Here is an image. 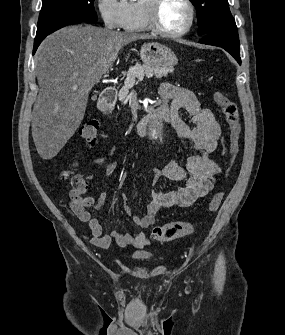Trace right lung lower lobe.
Returning <instances> with one entry per match:
<instances>
[{
    "label": "right lung lower lobe",
    "instance_id": "98d812e1",
    "mask_svg": "<svg viewBox=\"0 0 285 335\" xmlns=\"http://www.w3.org/2000/svg\"><path fill=\"white\" fill-rule=\"evenodd\" d=\"M82 22H87V21L79 20V19H66V20L56 22V23L52 24L51 26H49L48 28H45L41 31H37L35 41H34L33 54L36 52L38 46L44 40V38L47 35H49L50 33L54 32V31H56V30H58V29H60L64 26H67L69 24L82 23Z\"/></svg>",
    "mask_w": 285,
    "mask_h": 335
}]
</instances>
